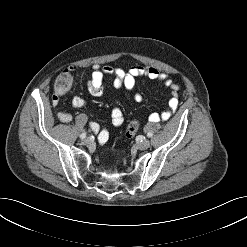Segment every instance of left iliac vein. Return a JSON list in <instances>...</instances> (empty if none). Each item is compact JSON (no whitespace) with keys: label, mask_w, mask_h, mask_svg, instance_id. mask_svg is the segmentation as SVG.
<instances>
[{"label":"left iliac vein","mask_w":247,"mask_h":247,"mask_svg":"<svg viewBox=\"0 0 247 247\" xmlns=\"http://www.w3.org/2000/svg\"><path fill=\"white\" fill-rule=\"evenodd\" d=\"M137 146L141 150H146L150 147V141L145 139V140L139 142Z\"/></svg>","instance_id":"4c4485c4"}]
</instances>
